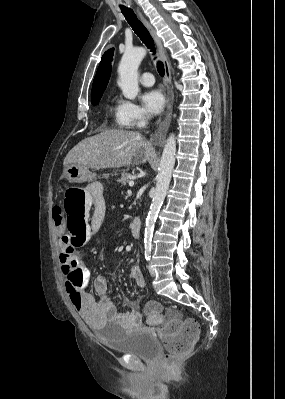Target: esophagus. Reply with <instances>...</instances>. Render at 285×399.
I'll return each instance as SVG.
<instances>
[{
	"instance_id": "1",
	"label": "esophagus",
	"mask_w": 285,
	"mask_h": 399,
	"mask_svg": "<svg viewBox=\"0 0 285 399\" xmlns=\"http://www.w3.org/2000/svg\"><path fill=\"white\" fill-rule=\"evenodd\" d=\"M138 15H139L141 21L143 22V24L145 25V27L149 30L151 36L153 37V39L157 45L159 57L164 65L165 83H166L167 87L169 88V86L171 84V70H170V65L168 63L166 52L163 47L161 38L158 36V34L156 33V30L153 28V26L142 15V13L138 11ZM171 116H172V98L169 99V103H168V113H167L166 120H165L166 128H168L170 125Z\"/></svg>"
}]
</instances>
